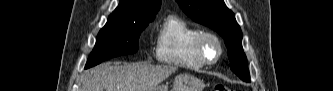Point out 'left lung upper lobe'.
Listing matches in <instances>:
<instances>
[{"label": "left lung upper lobe", "mask_w": 333, "mask_h": 91, "mask_svg": "<svg viewBox=\"0 0 333 91\" xmlns=\"http://www.w3.org/2000/svg\"><path fill=\"white\" fill-rule=\"evenodd\" d=\"M192 20L208 26L224 38L231 70L244 81L250 80L247 58L242 48V31L234 13L223 0H176Z\"/></svg>", "instance_id": "obj_1"}]
</instances>
